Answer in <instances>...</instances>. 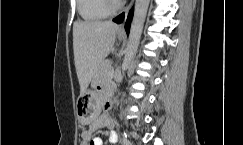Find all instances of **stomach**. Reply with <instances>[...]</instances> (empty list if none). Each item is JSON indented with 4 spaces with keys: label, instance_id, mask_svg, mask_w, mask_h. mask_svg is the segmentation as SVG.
<instances>
[{
    "label": "stomach",
    "instance_id": "stomach-1",
    "mask_svg": "<svg viewBox=\"0 0 243 145\" xmlns=\"http://www.w3.org/2000/svg\"><path fill=\"white\" fill-rule=\"evenodd\" d=\"M119 39H122L120 35ZM101 103V94L82 93L77 102L78 120L85 124L93 121L99 114Z\"/></svg>",
    "mask_w": 243,
    "mask_h": 145
}]
</instances>
